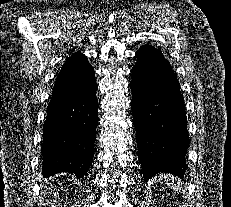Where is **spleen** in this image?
<instances>
[{
    "instance_id": "1",
    "label": "spleen",
    "mask_w": 231,
    "mask_h": 207,
    "mask_svg": "<svg viewBox=\"0 0 231 207\" xmlns=\"http://www.w3.org/2000/svg\"><path fill=\"white\" fill-rule=\"evenodd\" d=\"M170 178H171L170 176H167V177H166V181L170 180ZM171 179H172V178H171ZM174 188H175L176 190L179 189L178 186H175Z\"/></svg>"
}]
</instances>
